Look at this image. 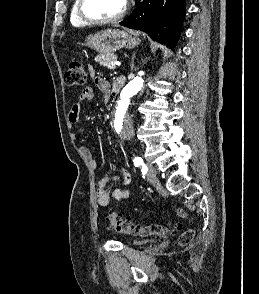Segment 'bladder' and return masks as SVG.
I'll use <instances>...</instances> for the list:
<instances>
[{
	"instance_id": "obj_1",
	"label": "bladder",
	"mask_w": 259,
	"mask_h": 294,
	"mask_svg": "<svg viewBox=\"0 0 259 294\" xmlns=\"http://www.w3.org/2000/svg\"><path fill=\"white\" fill-rule=\"evenodd\" d=\"M143 242L142 241H132L131 244L132 245H139V244H142Z\"/></svg>"
}]
</instances>
